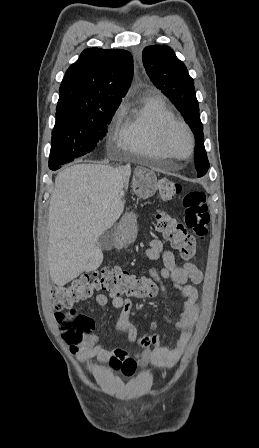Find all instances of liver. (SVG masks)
<instances>
[{
	"label": "liver",
	"mask_w": 259,
	"mask_h": 448,
	"mask_svg": "<svg viewBox=\"0 0 259 448\" xmlns=\"http://www.w3.org/2000/svg\"><path fill=\"white\" fill-rule=\"evenodd\" d=\"M130 166L77 164L59 172L49 206L48 266L52 282L65 286L101 266L96 242L124 210L119 192L128 186Z\"/></svg>",
	"instance_id": "1"
}]
</instances>
